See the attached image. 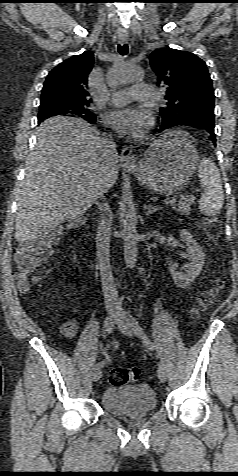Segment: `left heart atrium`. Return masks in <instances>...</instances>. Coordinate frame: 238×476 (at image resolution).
Segmentation results:
<instances>
[{
    "instance_id": "39dd6f15",
    "label": "left heart atrium",
    "mask_w": 238,
    "mask_h": 476,
    "mask_svg": "<svg viewBox=\"0 0 238 476\" xmlns=\"http://www.w3.org/2000/svg\"><path fill=\"white\" fill-rule=\"evenodd\" d=\"M105 121L123 136L140 138L151 125L152 119L142 108L127 107L109 112Z\"/></svg>"
}]
</instances>
